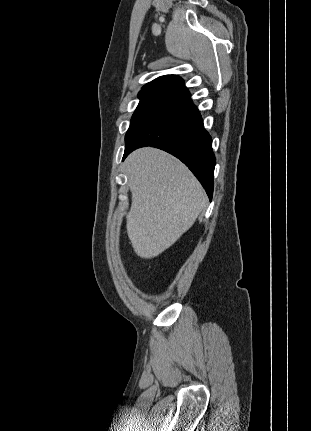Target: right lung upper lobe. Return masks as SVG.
<instances>
[{
    "instance_id": "1",
    "label": "right lung upper lobe",
    "mask_w": 311,
    "mask_h": 431,
    "mask_svg": "<svg viewBox=\"0 0 311 431\" xmlns=\"http://www.w3.org/2000/svg\"><path fill=\"white\" fill-rule=\"evenodd\" d=\"M141 91H157L176 95L181 99L190 96L183 80L176 75L161 76L144 85Z\"/></svg>"
}]
</instances>
